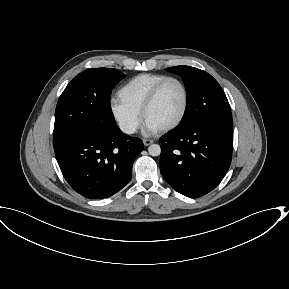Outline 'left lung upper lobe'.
Returning <instances> with one entry per match:
<instances>
[{"label": "left lung upper lobe", "instance_id": "left-lung-upper-lobe-1", "mask_svg": "<svg viewBox=\"0 0 289 289\" xmlns=\"http://www.w3.org/2000/svg\"><path fill=\"white\" fill-rule=\"evenodd\" d=\"M166 70L180 75L187 90V106L178 128L201 122L233 127L227 97L210 74L198 68L182 65Z\"/></svg>", "mask_w": 289, "mask_h": 289}]
</instances>
